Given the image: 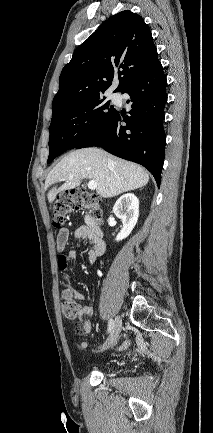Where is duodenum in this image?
Listing matches in <instances>:
<instances>
[{
	"label": "duodenum",
	"mask_w": 213,
	"mask_h": 433,
	"mask_svg": "<svg viewBox=\"0 0 213 433\" xmlns=\"http://www.w3.org/2000/svg\"><path fill=\"white\" fill-rule=\"evenodd\" d=\"M88 226L98 240H103L102 230L100 229L96 219H94L92 216H90L88 219Z\"/></svg>",
	"instance_id": "410a0bca"
}]
</instances>
